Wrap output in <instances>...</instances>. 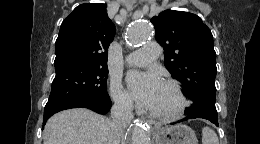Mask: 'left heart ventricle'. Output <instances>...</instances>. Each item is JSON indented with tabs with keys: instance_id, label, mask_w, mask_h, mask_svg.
<instances>
[{
	"instance_id": "obj_1",
	"label": "left heart ventricle",
	"mask_w": 260,
	"mask_h": 144,
	"mask_svg": "<svg viewBox=\"0 0 260 144\" xmlns=\"http://www.w3.org/2000/svg\"><path fill=\"white\" fill-rule=\"evenodd\" d=\"M177 106V99L173 91L161 83L157 96L150 109L155 111H171Z\"/></svg>"
}]
</instances>
